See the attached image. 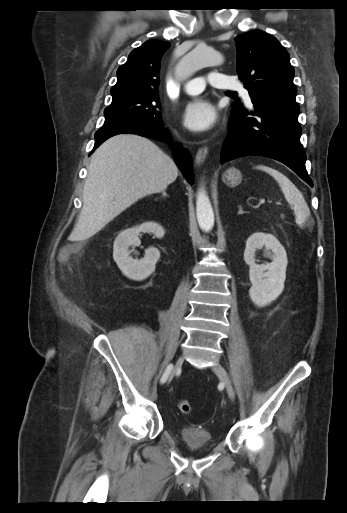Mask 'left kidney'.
I'll use <instances>...</instances> for the list:
<instances>
[{"label":"left kidney","instance_id":"5707ae66","mask_svg":"<svg viewBox=\"0 0 347 513\" xmlns=\"http://www.w3.org/2000/svg\"><path fill=\"white\" fill-rule=\"evenodd\" d=\"M263 247L273 252V261L259 265L255 262V253ZM244 261L249 266V279L252 283L249 295L253 303L264 307L276 300L284 289L288 264L282 244L272 234L256 232L246 241Z\"/></svg>","mask_w":347,"mask_h":513}]
</instances>
